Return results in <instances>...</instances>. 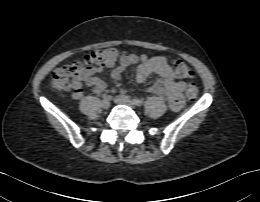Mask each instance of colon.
<instances>
[{"label": "colon", "instance_id": "1", "mask_svg": "<svg viewBox=\"0 0 260 202\" xmlns=\"http://www.w3.org/2000/svg\"><path fill=\"white\" fill-rule=\"evenodd\" d=\"M118 51L115 48H103L92 51L82 59L70 65L57 68L51 77L50 88L54 91L67 93L74 87V79L89 71H100L115 64L118 59ZM173 69L175 75L181 79L192 78L193 70L183 61L174 60ZM186 96L189 100H195L198 96V88L195 82L188 83Z\"/></svg>", "mask_w": 260, "mask_h": 202}]
</instances>
